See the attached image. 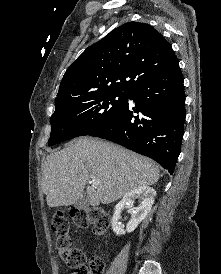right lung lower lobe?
<instances>
[{
  "mask_svg": "<svg viewBox=\"0 0 221 274\" xmlns=\"http://www.w3.org/2000/svg\"><path fill=\"white\" fill-rule=\"evenodd\" d=\"M106 125L89 134L123 145L157 161L173 173L181 148L185 122L183 76L176 62L143 82Z\"/></svg>",
  "mask_w": 221,
  "mask_h": 274,
  "instance_id": "right-lung-lower-lobe-1",
  "label": "right lung lower lobe"
}]
</instances>
